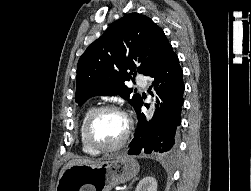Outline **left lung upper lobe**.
Wrapping results in <instances>:
<instances>
[{
  "label": "left lung upper lobe",
  "instance_id": "left-lung-upper-lobe-1",
  "mask_svg": "<svg viewBox=\"0 0 251 191\" xmlns=\"http://www.w3.org/2000/svg\"><path fill=\"white\" fill-rule=\"evenodd\" d=\"M171 48L163 30L150 18L126 14L113 22L80 57L75 101L81 106L92 96L118 94L136 109L142 98L139 94L131 96L133 89L126 85L130 74L150 76Z\"/></svg>",
  "mask_w": 251,
  "mask_h": 191
}]
</instances>
